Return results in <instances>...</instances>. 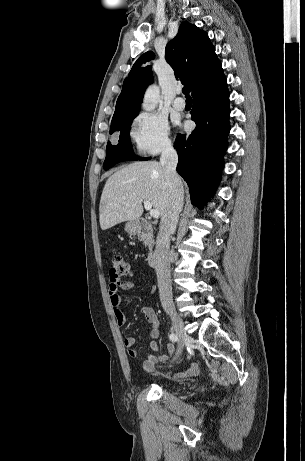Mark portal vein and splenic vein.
<instances>
[{
  "instance_id": "obj_1",
  "label": "portal vein and splenic vein",
  "mask_w": 305,
  "mask_h": 461,
  "mask_svg": "<svg viewBox=\"0 0 305 461\" xmlns=\"http://www.w3.org/2000/svg\"><path fill=\"white\" fill-rule=\"evenodd\" d=\"M144 207H145L146 210L149 211V214H150L151 217H153V218H158L159 217V211L156 210V209H152V204L148 200L144 201Z\"/></svg>"
}]
</instances>
